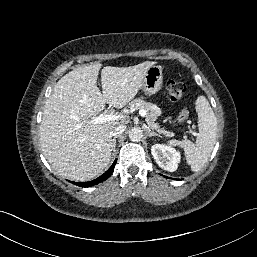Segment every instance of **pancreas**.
<instances>
[{
    "mask_svg": "<svg viewBox=\"0 0 257 257\" xmlns=\"http://www.w3.org/2000/svg\"><path fill=\"white\" fill-rule=\"evenodd\" d=\"M129 108L131 110H145L146 116L145 121L148 126L158 131L160 134H163L167 137H172L174 134L165 129H160V126L155 122L161 114L160 108H158L155 104L144 101L143 99L137 98L134 99L131 103H129Z\"/></svg>",
    "mask_w": 257,
    "mask_h": 257,
    "instance_id": "1",
    "label": "pancreas"
}]
</instances>
